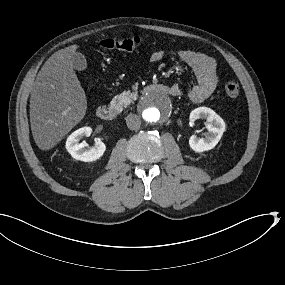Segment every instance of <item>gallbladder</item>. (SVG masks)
Here are the masks:
<instances>
[{
    "label": "gallbladder",
    "instance_id": "obj_1",
    "mask_svg": "<svg viewBox=\"0 0 285 285\" xmlns=\"http://www.w3.org/2000/svg\"><path fill=\"white\" fill-rule=\"evenodd\" d=\"M73 67L77 71H84L86 70L88 63L85 56L81 53L76 52L73 57Z\"/></svg>",
    "mask_w": 285,
    "mask_h": 285
}]
</instances>
